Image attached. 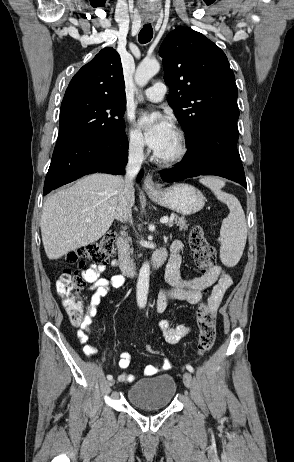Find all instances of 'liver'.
<instances>
[{
  "mask_svg": "<svg viewBox=\"0 0 294 462\" xmlns=\"http://www.w3.org/2000/svg\"><path fill=\"white\" fill-rule=\"evenodd\" d=\"M122 186L121 178L96 173L49 196L40 221L47 257L58 259L100 239L113 223Z\"/></svg>",
  "mask_w": 294,
  "mask_h": 462,
  "instance_id": "6515ba94",
  "label": "liver"
}]
</instances>
